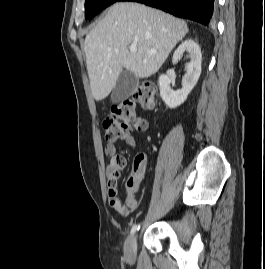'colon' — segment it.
I'll use <instances>...</instances> for the list:
<instances>
[{
	"mask_svg": "<svg viewBox=\"0 0 265 269\" xmlns=\"http://www.w3.org/2000/svg\"><path fill=\"white\" fill-rule=\"evenodd\" d=\"M155 97V84L145 82L130 98L113 105L110 115L103 121L104 139L112 143L128 135L133 129L141 128L143 124L137 117L136 108L139 106L152 110L155 107Z\"/></svg>",
	"mask_w": 265,
	"mask_h": 269,
	"instance_id": "obj_1",
	"label": "colon"
}]
</instances>
